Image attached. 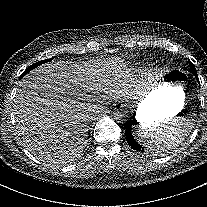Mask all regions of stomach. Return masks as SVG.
<instances>
[{
    "label": "stomach",
    "instance_id": "stomach-1",
    "mask_svg": "<svg viewBox=\"0 0 207 207\" xmlns=\"http://www.w3.org/2000/svg\"><path fill=\"white\" fill-rule=\"evenodd\" d=\"M187 77L181 69L163 73L159 84L138 104L136 119L151 125L174 117L184 107Z\"/></svg>",
    "mask_w": 207,
    "mask_h": 207
}]
</instances>
